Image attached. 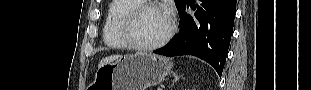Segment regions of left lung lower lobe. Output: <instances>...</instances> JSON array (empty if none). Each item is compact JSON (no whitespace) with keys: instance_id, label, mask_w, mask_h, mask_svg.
I'll return each mask as SVG.
<instances>
[{"instance_id":"1","label":"left lung lower lobe","mask_w":311,"mask_h":90,"mask_svg":"<svg viewBox=\"0 0 311 90\" xmlns=\"http://www.w3.org/2000/svg\"><path fill=\"white\" fill-rule=\"evenodd\" d=\"M201 6L188 1L179 11L181 29L167 46L154 53L173 57L194 55L211 64L221 76L233 32L237 0H200ZM195 10V16L186 7Z\"/></svg>"}]
</instances>
